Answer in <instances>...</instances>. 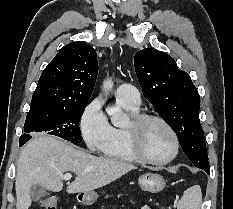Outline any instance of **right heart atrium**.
<instances>
[{
	"label": "right heart atrium",
	"mask_w": 233,
	"mask_h": 209,
	"mask_svg": "<svg viewBox=\"0 0 233 209\" xmlns=\"http://www.w3.org/2000/svg\"><path fill=\"white\" fill-rule=\"evenodd\" d=\"M80 129L87 147L92 151L101 150L110 141L113 127L108 122L99 99L91 101L83 110Z\"/></svg>",
	"instance_id": "obj_1"
}]
</instances>
